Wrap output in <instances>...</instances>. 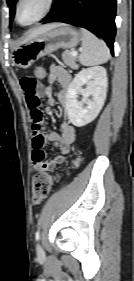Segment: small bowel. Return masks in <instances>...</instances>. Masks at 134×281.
<instances>
[{"label":"small bowel","mask_w":134,"mask_h":281,"mask_svg":"<svg viewBox=\"0 0 134 281\" xmlns=\"http://www.w3.org/2000/svg\"><path fill=\"white\" fill-rule=\"evenodd\" d=\"M48 86H44L35 76L23 75L19 84L25 93V100L30 112L33 131V168L37 171H51L64 162V156L69 153L71 144L75 139V128L63 121L61 123V134L56 132L45 133L43 114L40 109L41 98H45L48 107L56 103L53 97V84L59 85L58 100L65 106L67 104L68 87L71 82V74L63 67L53 64L47 74ZM49 111V109H47ZM55 144L59 153L46 160L44 148L47 142Z\"/></svg>","instance_id":"c3829d8e"}]
</instances>
